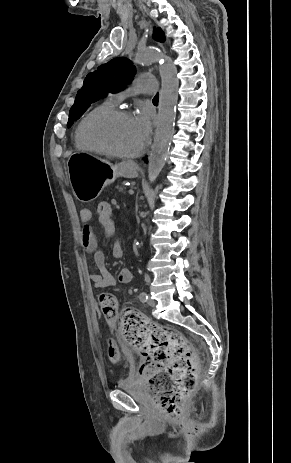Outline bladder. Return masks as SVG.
<instances>
[{"label":"bladder","instance_id":"obj_1","mask_svg":"<svg viewBox=\"0 0 291 463\" xmlns=\"http://www.w3.org/2000/svg\"><path fill=\"white\" fill-rule=\"evenodd\" d=\"M133 360V356L126 357L128 365H130L133 362ZM116 385L119 388H128L137 385V381L136 378L133 375H131L130 371L127 370L117 379Z\"/></svg>","mask_w":291,"mask_h":463}]
</instances>
